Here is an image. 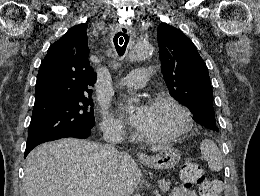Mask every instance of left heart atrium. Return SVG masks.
Wrapping results in <instances>:
<instances>
[{"instance_id":"left-heart-atrium-1","label":"left heart atrium","mask_w":260,"mask_h":196,"mask_svg":"<svg viewBox=\"0 0 260 196\" xmlns=\"http://www.w3.org/2000/svg\"><path fill=\"white\" fill-rule=\"evenodd\" d=\"M149 105H141L134 113L128 115L130 123L143 131L147 122ZM119 190H92L91 192H118Z\"/></svg>"}]
</instances>
